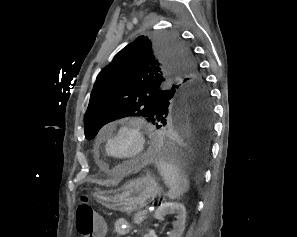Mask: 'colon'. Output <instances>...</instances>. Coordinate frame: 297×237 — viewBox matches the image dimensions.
Masks as SVG:
<instances>
[{"mask_svg": "<svg viewBox=\"0 0 297 237\" xmlns=\"http://www.w3.org/2000/svg\"><path fill=\"white\" fill-rule=\"evenodd\" d=\"M100 226L89 197L83 195L76 212V228L79 237H98Z\"/></svg>", "mask_w": 297, "mask_h": 237, "instance_id": "colon-1", "label": "colon"}]
</instances>
